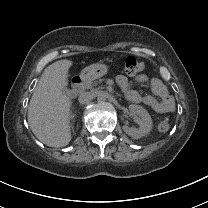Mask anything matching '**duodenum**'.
Segmentation results:
<instances>
[{"instance_id":"410a0bca","label":"duodenum","mask_w":208,"mask_h":208,"mask_svg":"<svg viewBox=\"0 0 208 208\" xmlns=\"http://www.w3.org/2000/svg\"><path fill=\"white\" fill-rule=\"evenodd\" d=\"M86 84V79L82 76H76L73 78L72 86H71V94L77 95L79 94Z\"/></svg>"}]
</instances>
